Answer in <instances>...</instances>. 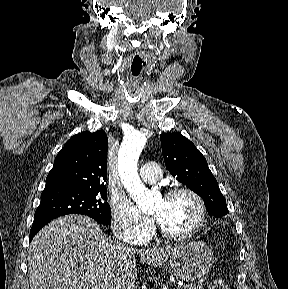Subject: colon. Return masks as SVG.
Listing matches in <instances>:
<instances>
[{
    "label": "colon",
    "instance_id": "1",
    "mask_svg": "<svg viewBox=\"0 0 288 289\" xmlns=\"http://www.w3.org/2000/svg\"><path fill=\"white\" fill-rule=\"evenodd\" d=\"M209 289H229L227 283L221 278H215L211 281Z\"/></svg>",
    "mask_w": 288,
    "mask_h": 289
}]
</instances>
